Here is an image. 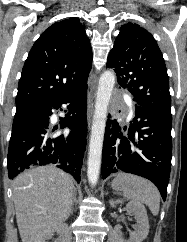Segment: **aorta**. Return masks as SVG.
Returning a JSON list of instances; mask_svg holds the SVG:
<instances>
[{
  "label": "aorta",
  "instance_id": "obj_1",
  "mask_svg": "<svg viewBox=\"0 0 187 242\" xmlns=\"http://www.w3.org/2000/svg\"><path fill=\"white\" fill-rule=\"evenodd\" d=\"M115 80L114 72L107 70L102 73L98 82L87 163V176L92 186L96 185L99 178L107 109Z\"/></svg>",
  "mask_w": 187,
  "mask_h": 242
}]
</instances>
